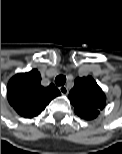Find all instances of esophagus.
Masks as SVG:
<instances>
[{"label": "esophagus", "mask_w": 122, "mask_h": 154, "mask_svg": "<svg viewBox=\"0 0 122 154\" xmlns=\"http://www.w3.org/2000/svg\"><path fill=\"white\" fill-rule=\"evenodd\" d=\"M59 90H60L61 94H63V95L68 94V88L66 86L59 87Z\"/></svg>", "instance_id": "obj_1"}]
</instances>
